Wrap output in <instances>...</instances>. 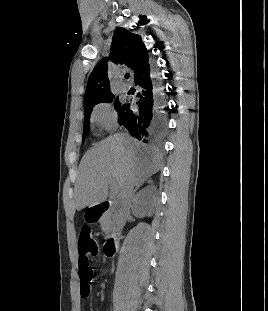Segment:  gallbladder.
I'll return each instance as SVG.
<instances>
[{
  "instance_id": "obj_1",
  "label": "gallbladder",
  "mask_w": 268,
  "mask_h": 311,
  "mask_svg": "<svg viewBox=\"0 0 268 311\" xmlns=\"http://www.w3.org/2000/svg\"><path fill=\"white\" fill-rule=\"evenodd\" d=\"M116 204H119V201H116Z\"/></svg>"
}]
</instances>
